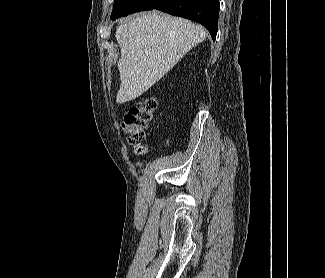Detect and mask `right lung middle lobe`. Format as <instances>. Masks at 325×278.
<instances>
[{
    "label": "right lung middle lobe",
    "mask_w": 325,
    "mask_h": 278,
    "mask_svg": "<svg viewBox=\"0 0 325 278\" xmlns=\"http://www.w3.org/2000/svg\"><path fill=\"white\" fill-rule=\"evenodd\" d=\"M135 6V0H115L111 19L115 20L119 17L128 15Z\"/></svg>",
    "instance_id": "1"
}]
</instances>
